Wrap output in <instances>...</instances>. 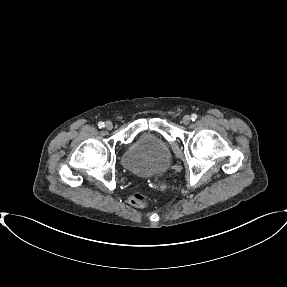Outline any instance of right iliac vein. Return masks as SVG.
<instances>
[{
	"instance_id": "right-iliac-vein-1",
	"label": "right iliac vein",
	"mask_w": 287,
	"mask_h": 287,
	"mask_svg": "<svg viewBox=\"0 0 287 287\" xmlns=\"http://www.w3.org/2000/svg\"><path fill=\"white\" fill-rule=\"evenodd\" d=\"M105 128H106L107 130H111V129L113 128L112 122L107 121V122L105 123Z\"/></svg>"
}]
</instances>
